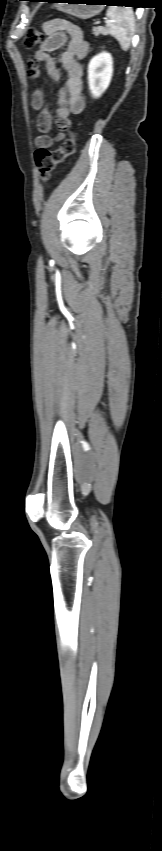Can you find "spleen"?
Here are the masks:
<instances>
[{
	"label": "spleen",
	"instance_id": "obj_1",
	"mask_svg": "<svg viewBox=\"0 0 162 851\" xmlns=\"http://www.w3.org/2000/svg\"><path fill=\"white\" fill-rule=\"evenodd\" d=\"M106 15L109 18L106 24L107 33L117 39L123 51H127L135 27L133 10L112 6L108 8Z\"/></svg>",
	"mask_w": 162,
	"mask_h": 851
}]
</instances>
